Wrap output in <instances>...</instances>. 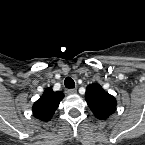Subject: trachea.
<instances>
[{"instance_id":"trachea-1","label":"trachea","mask_w":145,"mask_h":145,"mask_svg":"<svg viewBox=\"0 0 145 145\" xmlns=\"http://www.w3.org/2000/svg\"><path fill=\"white\" fill-rule=\"evenodd\" d=\"M64 84H65V87H66V88H69V89L75 87V82H74V80H73L72 78H70V77H67V78L65 79Z\"/></svg>"}]
</instances>
